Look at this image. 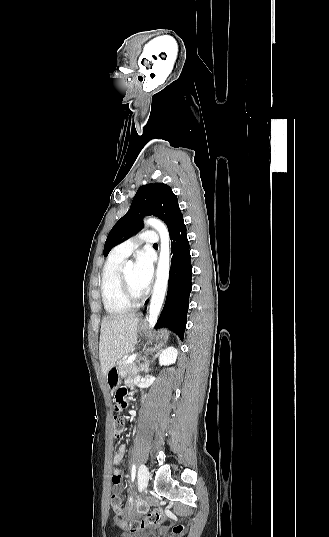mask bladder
Listing matches in <instances>:
<instances>
[{"mask_svg":"<svg viewBox=\"0 0 329 537\" xmlns=\"http://www.w3.org/2000/svg\"><path fill=\"white\" fill-rule=\"evenodd\" d=\"M152 533L153 531H137L122 535L120 537H150Z\"/></svg>","mask_w":329,"mask_h":537,"instance_id":"obj_1","label":"bladder"}]
</instances>
